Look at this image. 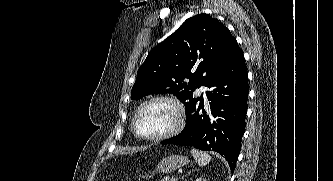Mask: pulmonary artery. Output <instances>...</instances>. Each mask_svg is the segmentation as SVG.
Here are the masks:
<instances>
[{"label":"pulmonary artery","instance_id":"obj_1","mask_svg":"<svg viewBox=\"0 0 333 181\" xmlns=\"http://www.w3.org/2000/svg\"><path fill=\"white\" fill-rule=\"evenodd\" d=\"M206 91L207 88L203 86L197 90V93L201 95L204 99H206Z\"/></svg>","mask_w":333,"mask_h":181}]
</instances>
